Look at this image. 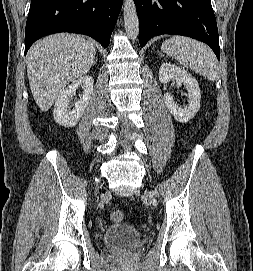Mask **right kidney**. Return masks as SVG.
Returning <instances> with one entry per match:
<instances>
[{
    "mask_svg": "<svg viewBox=\"0 0 253 271\" xmlns=\"http://www.w3.org/2000/svg\"><path fill=\"white\" fill-rule=\"evenodd\" d=\"M94 80L91 76H84L68 85L58 96L54 106V120L61 126L73 127L82 117L93 94ZM81 86L83 96L75 103L71 99L76 95L77 88ZM73 109L71 110V107Z\"/></svg>",
    "mask_w": 253,
    "mask_h": 271,
    "instance_id": "obj_1",
    "label": "right kidney"
}]
</instances>
